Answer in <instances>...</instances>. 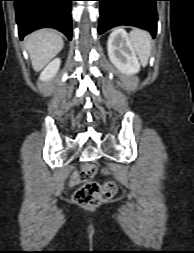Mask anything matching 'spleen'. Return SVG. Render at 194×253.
Instances as JSON below:
<instances>
[{
	"mask_svg": "<svg viewBox=\"0 0 194 253\" xmlns=\"http://www.w3.org/2000/svg\"><path fill=\"white\" fill-rule=\"evenodd\" d=\"M130 41L143 66L148 63L151 54V36L142 29H133L130 34Z\"/></svg>",
	"mask_w": 194,
	"mask_h": 253,
	"instance_id": "3e777b00",
	"label": "spleen"
}]
</instances>
